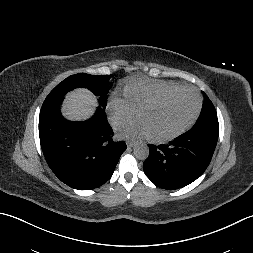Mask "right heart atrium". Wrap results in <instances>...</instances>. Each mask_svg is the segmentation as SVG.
<instances>
[{
    "label": "right heart atrium",
    "instance_id": "obj_1",
    "mask_svg": "<svg viewBox=\"0 0 253 253\" xmlns=\"http://www.w3.org/2000/svg\"><path fill=\"white\" fill-rule=\"evenodd\" d=\"M109 109L111 113V120L115 125L130 122L135 115V110L126 100L121 98L111 99Z\"/></svg>",
    "mask_w": 253,
    "mask_h": 253
}]
</instances>
